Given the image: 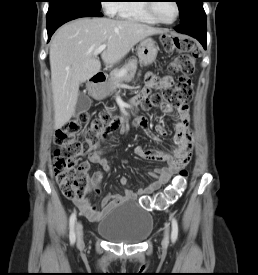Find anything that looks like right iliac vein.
I'll return each instance as SVG.
<instances>
[{
	"instance_id": "obj_1",
	"label": "right iliac vein",
	"mask_w": 258,
	"mask_h": 275,
	"mask_svg": "<svg viewBox=\"0 0 258 275\" xmlns=\"http://www.w3.org/2000/svg\"><path fill=\"white\" fill-rule=\"evenodd\" d=\"M75 228H76V235H77V243L80 246L83 244V226L81 222H77Z\"/></svg>"
}]
</instances>
